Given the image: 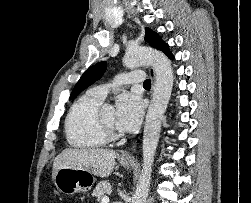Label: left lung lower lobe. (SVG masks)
<instances>
[{
	"instance_id": "0a47b994",
	"label": "left lung lower lobe",
	"mask_w": 251,
	"mask_h": 203,
	"mask_svg": "<svg viewBox=\"0 0 251 203\" xmlns=\"http://www.w3.org/2000/svg\"><path fill=\"white\" fill-rule=\"evenodd\" d=\"M170 59H174V56L172 55V53L170 52L168 45L162 50Z\"/></svg>"
}]
</instances>
